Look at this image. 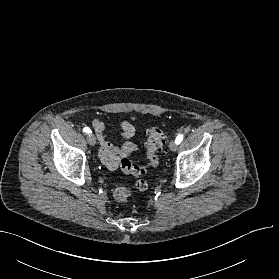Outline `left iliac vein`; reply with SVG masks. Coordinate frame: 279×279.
<instances>
[{
  "label": "left iliac vein",
  "mask_w": 279,
  "mask_h": 279,
  "mask_svg": "<svg viewBox=\"0 0 279 279\" xmlns=\"http://www.w3.org/2000/svg\"><path fill=\"white\" fill-rule=\"evenodd\" d=\"M169 149H170L172 152L176 151V150H177V144H176V142L171 141L170 144H169Z\"/></svg>",
  "instance_id": "1"
}]
</instances>
